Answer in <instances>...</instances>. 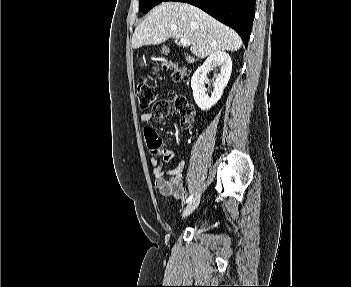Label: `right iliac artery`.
Wrapping results in <instances>:
<instances>
[{
    "instance_id": "obj_1",
    "label": "right iliac artery",
    "mask_w": 351,
    "mask_h": 287,
    "mask_svg": "<svg viewBox=\"0 0 351 287\" xmlns=\"http://www.w3.org/2000/svg\"><path fill=\"white\" fill-rule=\"evenodd\" d=\"M192 199H193V195H190V196L187 198L186 203H190V202L192 201Z\"/></svg>"
}]
</instances>
